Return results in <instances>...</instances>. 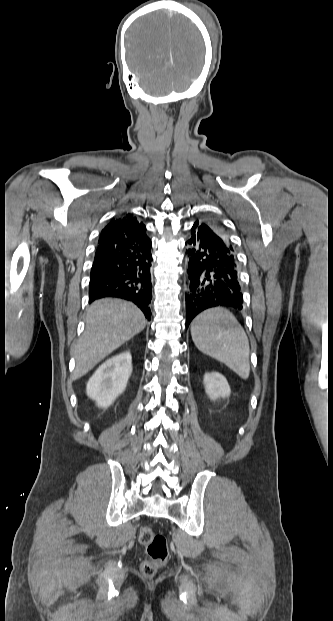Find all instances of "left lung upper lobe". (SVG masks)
<instances>
[{
  "label": "left lung upper lobe",
  "mask_w": 333,
  "mask_h": 621,
  "mask_svg": "<svg viewBox=\"0 0 333 621\" xmlns=\"http://www.w3.org/2000/svg\"><path fill=\"white\" fill-rule=\"evenodd\" d=\"M195 224L196 225L208 226L210 229H212L220 237L222 242L227 247H229L230 249H232L235 252L234 247L232 245V242H231V240L229 238V235H228L227 231L224 229L223 225L220 222H218V221H216L214 219H208V220H205V221H203L201 223L196 221Z\"/></svg>",
  "instance_id": "left-lung-upper-lobe-1"
}]
</instances>
